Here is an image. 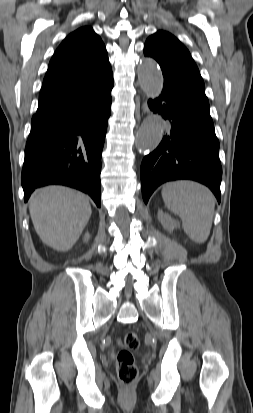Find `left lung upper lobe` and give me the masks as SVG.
Here are the masks:
<instances>
[{
	"label": "left lung upper lobe",
	"mask_w": 253,
	"mask_h": 413,
	"mask_svg": "<svg viewBox=\"0 0 253 413\" xmlns=\"http://www.w3.org/2000/svg\"><path fill=\"white\" fill-rule=\"evenodd\" d=\"M144 55L153 57L164 77L188 81L204 88L200 72L187 48L172 34L158 31L145 43Z\"/></svg>",
	"instance_id": "left-lung-upper-lobe-1"
}]
</instances>
